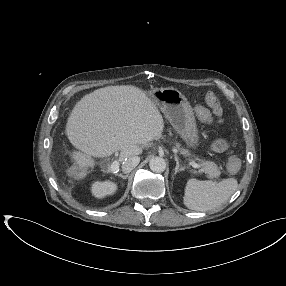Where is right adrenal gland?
Segmentation results:
<instances>
[{
  "label": "right adrenal gland",
  "instance_id": "2a0ac1e0",
  "mask_svg": "<svg viewBox=\"0 0 286 286\" xmlns=\"http://www.w3.org/2000/svg\"><path fill=\"white\" fill-rule=\"evenodd\" d=\"M118 176L121 177L124 180V179H127L128 174L127 175L118 174Z\"/></svg>",
  "mask_w": 286,
  "mask_h": 286
}]
</instances>
